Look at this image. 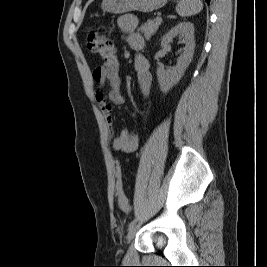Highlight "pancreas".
<instances>
[{
  "label": "pancreas",
  "instance_id": "cf45deb5",
  "mask_svg": "<svg viewBox=\"0 0 267 267\" xmlns=\"http://www.w3.org/2000/svg\"><path fill=\"white\" fill-rule=\"evenodd\" d=\"M161 22L162 20H149L141 26L140 30L144 34L146 40H149L156 33Z\"/></svg>",
  "mask_w": 267,
  "mask_h": 267
}]
</instances>
